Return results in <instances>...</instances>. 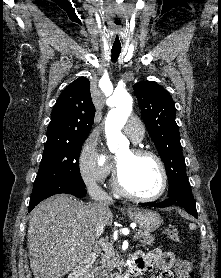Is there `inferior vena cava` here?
<instances>
[{"instance_id": "obj_1", "label": "inferior vena cava", "mask_w": 221, "mask_h": 278, "mask_svg": "<svg viewBox=\"0 0 221 278\" xmlns=\"http://www.w3.org/2000/svg\"><path fill=\"white\" fill-rule=\"evenodd\" d=\"M88 193L93 200L99 203L110 204L112 198L96 183L95 180H90L87 183ZM104 232V224L99 220L96 226V236L99 237Z\"/></svg>"}]
</instances>
